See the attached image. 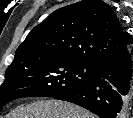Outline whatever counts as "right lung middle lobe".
Returning <instances> with one entry per match:
<instances>
[{
    "label": "right lung middle lobe",
    "mask_w": 133,
    "mask_h": 118,
    "mask_svg": "<svg viewBox=\"0 0 133 118\" xmlns=\"http://www.w3.org/2000/svg\"><path fill=\"white\" fill-rule=\"evenodd\" d=\"M95 73V67L61 58L8 69L0 86V110L7 102L21 97H56L88 83Z\"/></svg>",
    "instance_id": "obj_1"
}]
</instances>
